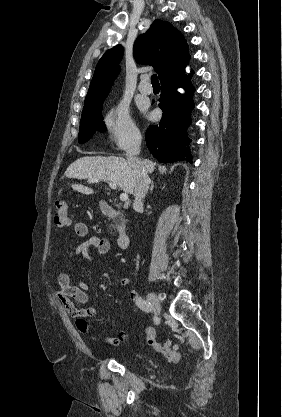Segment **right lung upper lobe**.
Returning <instances> with one entry per match:
<instances>
[{"instance_id":"cb5924a9","label":"right lung upper lobe","mask_w":282,"mask_h":417,"mask_svg":"<svg viewBox=\"0 0 282 417\" xmlns=\"http://www.w3.org/2000/svg\"><path fill=\"white\" fill-rule=\"evenodd\" d=\"M186 40L169 22L155 20L149 30L140 35L134 44V57L138 63L155 67L159 79L189 60ZM123 47L116 45L99 60L87 96L109 93L120 72L119 63Z\"/></svg>"}]
</instances>
